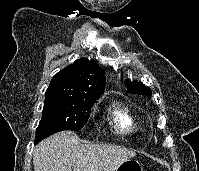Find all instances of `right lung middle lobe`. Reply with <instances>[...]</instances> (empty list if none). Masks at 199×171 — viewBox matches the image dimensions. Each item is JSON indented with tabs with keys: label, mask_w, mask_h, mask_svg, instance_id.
<instances>
[{
	"label": "right lung middle lobe",
	"mask_w": 199,
	"mask_h": 171,
	"mask_svg": "<svg viewBox=\"0 0 199 171\" xmlns=\"http://www.w3.org/2000/svg\"><path fill=\"white\" fill-rule=\"evenodd\" d=\"M96 99L76 100L46 93L36 138L63 130L79 131L87 123Z\"/></svg>",
	"instance_id": "obj_1"
}]
</instances>
